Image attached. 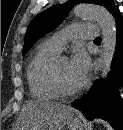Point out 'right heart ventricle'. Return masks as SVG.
Returning <instances> with one entry per match:
<instances>
[{
  "label": "right heart ventricle",
  "instance_id": "obj_1",
  "mask_svg": "<svg viewBox=\"0 0 123 130\" xmlns=\"http://www.w3.org/2000/svg\"><path fill=\"white\" fill-rule=\"evenodd\" d=\"M58 51L46 42L40 44L27 69V79L32 96L40 101H52L59 98L53 81L52 65Z\"/></svg>",
  "mask_w": 123,
  "mask_h": 130
}]
</instances>
